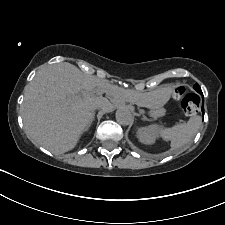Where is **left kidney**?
<instances>
[{
  "label": "left kidney",
  "instance_id": "left-kidney-1",
  "mask_svg": "<svg viewBox=\"0 0 225 225\" xmlns=\"http://www.w3.org/2000/svg\"><path fill=\"white\" fill-rule=\"evenodd\" d=\"M137 137L144 144H154L158 137V126L153 124L138 129Z\"/></svg>",
  "mask_w": 225,
  "mask_h": 225
}]
</instances>
